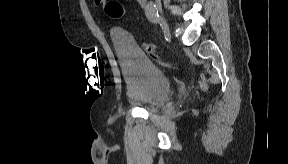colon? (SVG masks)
<instances>
[{
	"label": "colon",
	"instance_id": "5ec220e1",
	"mask_svg": "<svg viewBox=\"0 0 288 164\" xmlns=\"http://www.w3.org/2000/svg\"><path fill=\"white\" fill-rule=\"evenodd\" d=\"M106 13L108 16L111 18H120L124 15V9L122 5L118 2H111L106 6ZM145 48L143 51L148 52L147 54L152 58V59H159L160 55L159 53L152 48V46L149 43L145 44ZM168 66H174L172 63H166Z\"/></svg>",
	"mask_w": 288,
	"mask_h": 164
}]
</instances>
